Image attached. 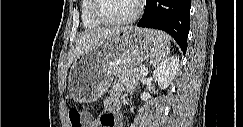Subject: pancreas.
<instances>
[{
	"label": "pancreas",
	"mask_w": 243,
	"mask_h": 127,
	"mask_svg": "<svg viewBox=\"0 0 243 127\" xmlns=\"http://www.w3.org/2000/svg\"><path fill=\"white\" fill-rule=\"evenodd\" d=\"M143 75L139 68H134L119 74L117 77L119 81L124 83L126 90L132 92Z\"/></svg>",
	"instance_id": "obj_1"
}]
</instances>
